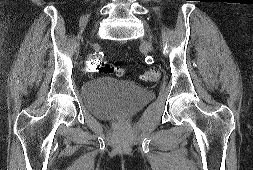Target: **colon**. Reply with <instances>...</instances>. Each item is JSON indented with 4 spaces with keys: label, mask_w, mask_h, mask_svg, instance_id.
Returning <instances> with one entry per match:
<instances>
[{
    "label": "colon",
    "mask_w": 253,
    "mask_h": 170,
    "mask_svg": "<svg viewBox=\"0 0 253 170\" xmlns=\"http://www.w3.org/2000/svg\"><path fill=\"white\" fill-rule=\"evenodd\" d=\"M101 70L109 74H116L117 76H122L125 73L123 68L110 64L103 65ZM141 79L145 82H155L158 79V72L153 69L146 70L141 75Z\"/></svg>",
    "instance_id": "1"
}]
</instances>
